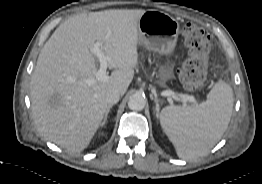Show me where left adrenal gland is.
I'll list each match as a JSON object with an SVG mask.
<instances>
[{
  "instance_id": "left-adrenal-gland-1",
  "label": "left adrenal gland",
  "mask_w": 262,
  "mask_h": 184,
  "mask_svg": "<svg viewBox=\"0 0 262 184\" xmlns=\"http://www.w3.org/2000/svg\"><path fill=\"white\" fill-rule=\"evenodd\" d=\"M154 101L156 103L155 112H156V116L158 117V115H159V100L157 98H155Z\"/></svg>"
}]
</instances>
